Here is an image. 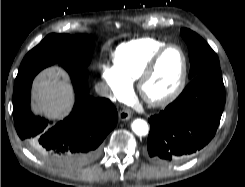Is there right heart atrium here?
<instances>
[{
    "label": "right heart atrium",
    "mask_w": 245,
    "mask_h": 187,
    "mask_svg": "<svg viewBox=\"0 0 245 187\" xmlns=\"http://www.w3.org/2000/svg\"><path fill=\"white\" fill-rule=\"evenodd\" d=\"M100 70L112 98L123 100L130 95L131 85L120 76L114 64L102 61Z\"/></svg>",
    "instance_id": "right-heart-atrium-1"
}]
</instances>
